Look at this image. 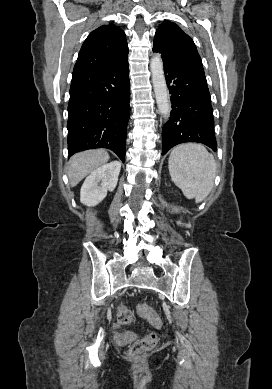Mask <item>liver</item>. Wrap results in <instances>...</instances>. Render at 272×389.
I'll use <instances>...</instances> for the list:
<instances>
[{
    "label": "liver",
    "mask_w": 272,
    "mask_h": 389,
    "mask_svg": "<svg viewBox=\"0 0 272 389\" xmlns=\"http://www.w3.org/2000/svg\"><path fill=\"white\" fill-rule=\"evenodd\" d=\"M109 160V154L102 149L78 153L69 161L68 177L72 187L83 178L103 166Z\"/></svg>",
    "instance_id": "obj_1"
}]
</instances>
